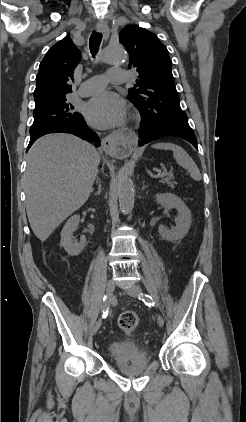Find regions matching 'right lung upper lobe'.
Returning a JSON list of instances; mask_svg holds the SVG:
<instances>
[{"mask_svg":"<svg viewBox=\"0 0 246 422\" xmlns=\"http://www.w3.org/2000/svg\"><path fill=\"white\" fill-rule=\"evenodd\" d=\"M81 59L70 37H65L47 52L40 63L34 91L35 109L66 98L72 92L69 81Z\"/></svg>","mask_w":246,"mask_h":422,"instance_id":"right-lung-upper-lobe-1","label":"right lung upper lobe"}]
</instances>
